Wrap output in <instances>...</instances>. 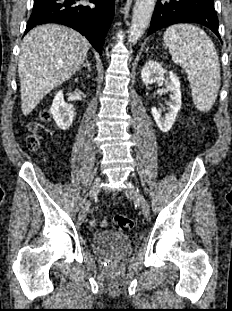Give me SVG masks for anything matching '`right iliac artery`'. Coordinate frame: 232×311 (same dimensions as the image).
<instances>
[{
  "label": "right iliac artery",
  "mask_w": 232,
  "mask_h": 311,
  "mask_svg": "<svg viewBox=\"0 0 232 311\" xmlns=\"http://www.w3.org/2000/svg\"><path fill=\"white\" fill-rule=\"evenodd\" d=\"M87 208L89 207V203H87V206H86Z\"/></svg>",
  "instance_id": "obj_1"
}]
</instances>
